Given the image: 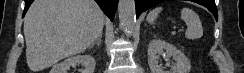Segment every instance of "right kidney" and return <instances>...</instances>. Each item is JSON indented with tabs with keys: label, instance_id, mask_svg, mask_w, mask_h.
<instances>
[{
	"label": "right kidney",
	"instance_id": "right-kidney-1",
	"mask_svg": "<svg viewBox=\"0 0 244 73\" xmlns=\"http://www.w3.org/2000/svg\"><path fill=\"white\" fill-rule=\"evenodd\" d=\"M81 64L84 69L81 73H93L95 69V60L90 55H77L65 59L61 63L54 65L50 73H66L70 67H76Z\"/></svg>",
	"mask_w": 244,
	"mask_h": 73
}]
</instances>
